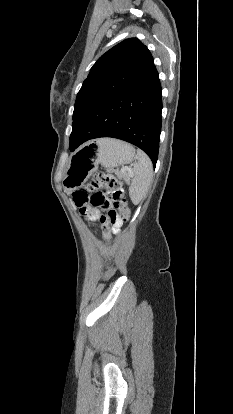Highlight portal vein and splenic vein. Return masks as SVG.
Listing matches in <instances>:
<instances>
[{
  "label": "portal vein and splenic vein",
  "mask_w": 233,
  "mask_h": 414,
  "mask_svg": "<svg viewBox=\"0 0 233 414\" xmlns=\"http://www.w3.org/2000/svg\"><path fill=\"white\" fill-rule=\"evenodd\" d=\"M121 171H122V172H128L130 175H132V170H131L130 168H128V167H123V168L121 169Z\"/></svg>",
  "instance_id": "1"
}]
</instances>
